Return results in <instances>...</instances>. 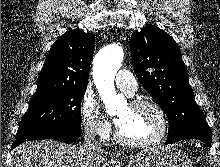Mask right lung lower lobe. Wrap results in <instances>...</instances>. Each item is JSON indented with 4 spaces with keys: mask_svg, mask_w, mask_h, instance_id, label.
I'll list each match as a JSON object with an SVG mask.
<instances>
[{
    "mask_svg": "<svg viewBox=\"0 0 220 167\" xmlns=\"http://www.w3.org/2000/svg\"><path fill=\"white\" fill-rule=\"evenodd\" d=\"M80 135L81 129L65 130L57 133L44 132L33 137L15 140L12 144V149L18 146L19 144L23 143L24 141L32 140L55 139L62 142H73L76 141Z\"/></svg>",
    "mask_w": 220,
    "mask_h": 167,
    "instance_id": "obj_1",
    "label": "right lung lower lobe"
}]
</instances>
